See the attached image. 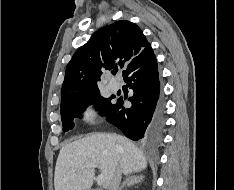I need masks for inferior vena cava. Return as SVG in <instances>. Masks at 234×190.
<instances>
[{
    "mask_svg": "<svg viewBox=\"0 0 234 190\" xmlns=\"http://www.w3.org/2000/svg\"><path fill=\"white\" fill-rule=\"evenodd\" d=\"M121 170L120 168H117V170L115 171L113 177L111 178V181L107 187L108 190H119L118 187H119V184H120V181H121Z\"/></svg>",
    "mask_w": 234,
    "mask_h": 190,
    "instance_id": "inferior-vena-cava-1",
    "label": "inferior vena cava"
}]
</instances>
